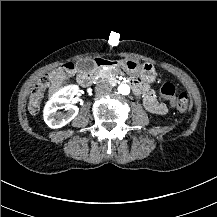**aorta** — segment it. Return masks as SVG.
<instances>
[{"label": "aorta", "mask_w": 217, "mask_h": 217, "mask_svg": "<svg viewBox=\"0 0 217 217\" xmlns=\"http://www.w3.org/2000/svg\"><path fill=\"white\" fill-rule=\"evenodd\" d=\"M131 92V88L129 85L127 84H121L119 86V93L122 94V95H129Z\"/></svg>", "instance_id": "1"}]
</instances>
